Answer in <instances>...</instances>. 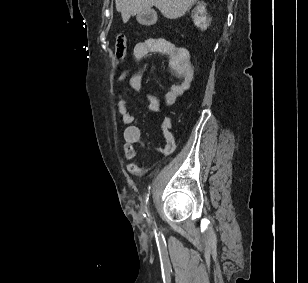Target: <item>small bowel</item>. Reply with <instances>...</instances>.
Wrapping results in <instances>:
<instances>
[{
	"label": "small bowel",
	"mask_w": 308,
	"mask_h": 283,
	"mask_svg": "<svg viewBox=\"0 0 308 283\" xmlns=\"http://www.w3.org/2000/svg\"><path fill=\"white\" fill-rule=\"evenodd\" d=\"M152 53H159L167 56L171 70L181 79V83L173 85L164 98L166 106H173L177 100L186 93L195 77L190 54L186 49L160 38L144 39L138 42L134 47V56L138 59L144 58ZM126 82L131 89L138 91L142 87L143 75L141 72L133 73L130 70H124L117 78L118 88L121 90ZM148 99L150 102V111L152 113H159L160 103L158 99L150 95ZM117 112L121 122L125 124L123 131V149L125 157L129 161L127 170L132 174H143L150 169V166H141L134 162L137 156L135 145L139 142L141 133L140 129L134 124V117L130 113L127 101L121 92L117 100ZM163 134L165 145L157 152L161 157H166L172 154L176 149V141L168 126H165Z\"/></svg>",
	"instance_id": "obj_1"
}]
</instances>
